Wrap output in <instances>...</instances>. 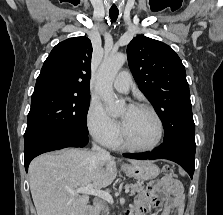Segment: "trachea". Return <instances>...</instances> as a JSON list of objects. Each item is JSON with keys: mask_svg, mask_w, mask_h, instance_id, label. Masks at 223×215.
I'll list each match as a JSON object with an SVG mask.
<instances>
[{"mask_svg": "<svg viewBox=\"0 0 223 215\" xmlns=\"http://www.w3.org/2000/svg\"><path fill=\"white\" fill-rule=\"evenodd\" d=\"M118 14H119V11L117 9L109 10V16H110L112 21H116L117 20Z\"/></svg>", "mask_w": 223, "mask_h": 215, "instance_id": "trachea-1", "label": "trachea"}]
</instances>
